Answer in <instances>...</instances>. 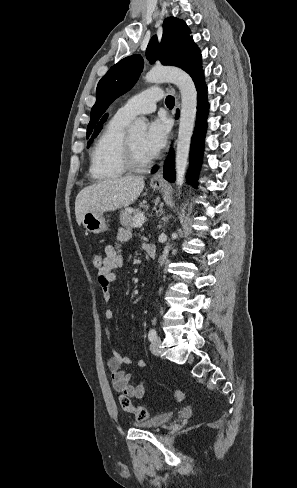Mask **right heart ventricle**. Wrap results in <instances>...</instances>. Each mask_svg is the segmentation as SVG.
I'll return each mask as SVG.
<instances>
[{
	"label": "right heart ventricle",
	"mask_w": 297,
	"mask_h": 488,
	"mask_svg": "<svg viewBox=\"0 0 297 488\" xmlns=\"http://www.w3.org/2000/svg\"><path fill=\"white\" fill-rule=\"evenodd\" d=\"M128 122V119L114 115L95 140L91 149L89 168L93 179L110 181L126 173L123 148L126 138L124 128Z\"/></svg>",
	"instance_id": "e07e8e85"
}]
</instances>
